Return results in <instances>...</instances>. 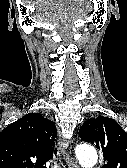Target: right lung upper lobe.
<instances>
[{"label": "right lung upper lobe", "instance_id": "cb5924a9", "mask_svg": "<svg viewBox=\"0 0 127 168\" xmlns=\"http://www.w3.org/2000/svg\"><path fill=\"white\" fill-rule=\"evenodd\" d=\"M55 124L29 113L0 133V168H46L56 153Z\"/></svg>", "mask_w": 127, "mask_h": 168}]
</instances>
